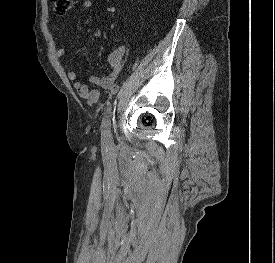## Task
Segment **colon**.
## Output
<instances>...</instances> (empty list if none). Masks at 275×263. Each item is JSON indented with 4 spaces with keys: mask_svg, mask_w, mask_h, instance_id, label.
<instances>
[{
    "mask_svg": "<svg viewBox=\"0 0 275 263\" xmlns=\"http://www.w3.org/2000/svg\"><path fill=\"white\" fill-rule=\"evenodd\" d=\"M74 0H52L54 11L59 14H65L72 7Z\"/></svg>",
    "mask_w": 275,
    "mask_h": 263,
    "instance_id": "1",
    "label": "colon"
}]
</instances>
